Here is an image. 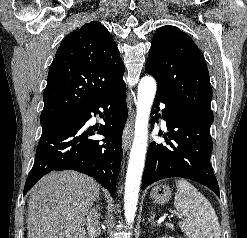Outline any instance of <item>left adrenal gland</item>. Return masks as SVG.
I'll return each instance as SVG.
<instances>
[{
    "label": "left adrenal gland",
    "mask_w": 247,
    "mask_h": 238,
    "mask_svg": "<svg viewBox=\"0 0 247 238\" xmlns=\"http://www.w3.org/2000/svg\"><path fill=\"white\" fill-rule=\"evenodd\" d=\"M154 216V213H151V217L148 219V222L151 223V225L158 227V225L154 221Z\"/></svg>",
    "instance_id": "1"
}]
</instances>
